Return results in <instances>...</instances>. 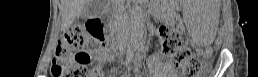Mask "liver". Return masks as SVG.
<instances>
[{
	"label": "liver",
	"mask_w": 258,
	"mask_h": 77,
	"mask_svg": "<svg viewBox=\"0 0 258 77\" xmlns=\"http://www.w3.org/2000/svg\"><path fill=\"white\" fill-rule=\"evenodd\" d=\"M90 2L91 0H61L62 28H68Z\"/></svg>",
	"instance_id": "6515ba94"
}]
</instances>
